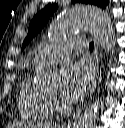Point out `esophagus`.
Listing matches in <instances>:
<instances>
[{
  "label": "esophagus",
  "mask_w": 125,
  "mask_h": 128,
  "mask_svg": "<svg viewBox=\"0 0 125 128\" xmlns=\"http://www.w3.org/2000/svg\"><path fill=\"white\" fill-rule=\"evenodd\" d=\"M93 62H94V70H95V78L94 82L92 84V87L90 89V93L88 96V99L85 101V103L73 114L70 120H68L65 123V127H70L80 116L82 110L85 108L87 102L90 100L92 97V94L94 92V89L96 87L97 79H98V74H99V58H98V43L96 40H94V51H93Z\"/></svg>",
  "instance_id": "esophagus-1"
}]
</instances>
